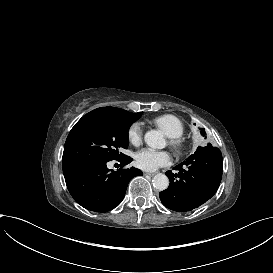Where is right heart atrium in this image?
Instances as JSON below:
<instances>
[{
    "label": "right heart atrium",
    "mask_w": 273,
    "mask_h": 273,
    "mask_svg": "<svg viewBox=\"0 0 273 273\" xmlns=\"http://www.w3.org/2000/svg\"><path fill=\"white\" fill-rule=\"evenodd\" d=\"M142 128L140 124L134 123L129 127L128 138L134 145H139L142 141Z\"/></svg>",
    "instance_id": "1"
}]
</instances>
